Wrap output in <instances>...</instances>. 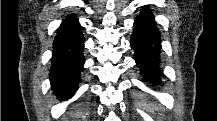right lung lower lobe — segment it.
<instances>
[{
  "label": "right lung lower lobe",
  "instance_id": "1",
  "mask_svg": "<svg viewBox=\"0 0 217 121\" xmlns=\"http://www.w3.org/2000/svg\"><path fill=\"white\" fill-rule=\"evenodd\" d=\"M83 44L79 22L71 15L60 25L53 42L50 81L61 100L70 98L78 89L84 64Z\"/></svg>",
  "mask_w": 217,
  "mask_h": 121
}]
</instances>
